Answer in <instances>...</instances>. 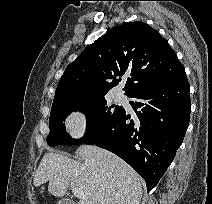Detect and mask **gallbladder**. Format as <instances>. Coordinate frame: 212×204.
<instances>
[{
	"instance_id": "gallbladder-1",
	"label": "gallbladder",
	"mask_w": 212,
	"mask_h": 204,
	"mask_svg": "<svg viewBox=\"0 0 212 204\" xmlns=\"http://www.w3.org/2000/svg\"><path fill=\"white\" fill-rule=\"evenodd\" d=\"M58 204H74V203L67 198H62L58 201Z\"/></svg>"
}]
</instances>
